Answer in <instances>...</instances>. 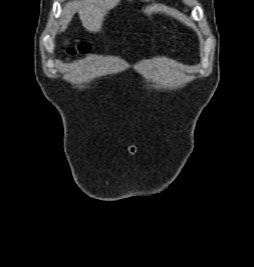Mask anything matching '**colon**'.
<instances>
[{
  "mask_svg": "<svg viewBox=\"0 0 254 267\" xmlns=\"http://www.w3.org/2000/svg\"><path fill=\"white\" fill-rule=\"evenodd\" d=\"M89 51H90V45L88 43H86V42H82L76 47H73V46L68 47L67 54L70 57H74L77 54H86Z\"/></svg>",
  "mask_w": 254,
  "mask_h": 267,
  "instance_id": "colon-1",
  "label": "colon"
}]
</instances>
